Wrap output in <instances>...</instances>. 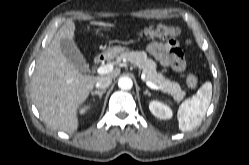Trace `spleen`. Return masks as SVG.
Segmentation results:
<instances>
[{
    "label": "spleen",
    "mask_w": 249,
    "mask_h": 165,
    "mask_svg": "<svg viewBox=\"0 0 249 165\" xmlns=\"http://www.w3.org/2000/svg\"><path fill=\"white\" fill-rule=\"evenodd\" d=\"M212 97V84L205 82L197 93L185 100L178 109V127L185 132L194 129L200 124L210 105Z\"/></svg>",
    "instance_id": "obj_1"
}]
</instances>
